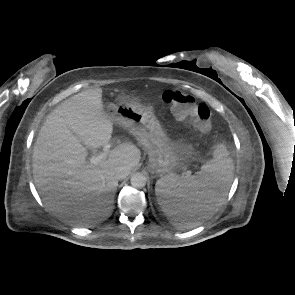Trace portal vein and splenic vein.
Segmentation results:
<instances>
[{
	"label": "portal vein and splenic vein",
	"mask_w": 295,
	"mask_h": 295,
	"mask_svg": "<svg viewBox=\"0 0 295 295\" xmlns=\"http://www.w3.org/2000/svg\"><path fill=\"white\" fill-rule=\"evenodd\" d=\"M111 144L106 143L103 146V152L99 153L98 155L92 156L90 158V163L93 165H98L100 162L105 160L108 156V153L110 152Z\"/></svg>",
	"instance_id": "portal-vein-and-splenic-vein-1"
}]
</instances>
